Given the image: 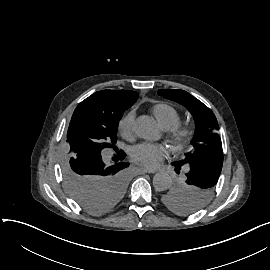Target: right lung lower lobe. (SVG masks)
I'll list each match as a JSON object with an SVG mask.
<instances>
[{"label": "right lung lower lobe", "mask_w": 270, "mask_h": 270, "mask_svg": "<svg viewBox=\"0 0 270 270\" xmlns=\"http://www.w3.org/2000/svg\"><path fill=\"white\" fill-rule=\"evenodd\" d=\"M103 163H104V162H103ZM104 164H105V163H104ZM127 166H128L127 163H124V162L121 161V162H119V165H114V164H113L111 167H112V168L120 169L119 172L117 173V174H119V173H123L122 170H123L124 168H126ZM105 167H110V166H106V165H105ZM121 168H123V169H121ZM123 174H124V173H123Z\"/></svg>", "instance_id": "right-lung-lower-lobe-1"}]
</instances>
